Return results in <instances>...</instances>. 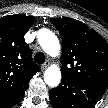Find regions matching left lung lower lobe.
Listing matches in <instances>:
<instances>
[{
    "label": "left lung lower lobe",
    "instance_id": "left-lung-lower-lobe-1",
    "mask_svg": "<svg viewBox=\"0 0 108 108\" xmlns=\"http://www.w3.org/2000/svg\"><path fill=\"white\" fill-rule=\"evenodd\" d=\"M106 84L62 77L61 84L50 90L54 108H92L107 89Z\"/></svg>",
    "mask_w": 108,
    "mask_h": 108
}]
</instances>
